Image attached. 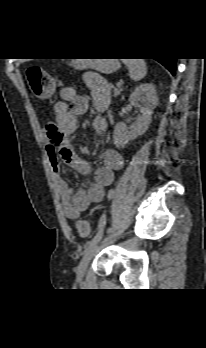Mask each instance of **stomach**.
<instances>
[{"instance_id": "1", "label": "stomach", "mask_w": 206, "mask_h": 348, "mask_svg": "<svg viewBox=\"0 0 206 348\" xmlns=\"http://www.w3.org/2000/svg\"><path fill=\"white\" fill-rule=\"evenodd\" d=\"M72 65L75 69L92 68L102 73H111L120 67L117 59H74Z\"/></svg>"}]
</instances>
